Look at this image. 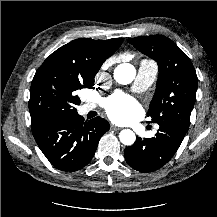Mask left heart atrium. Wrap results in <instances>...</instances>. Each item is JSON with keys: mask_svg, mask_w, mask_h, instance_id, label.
Segmentation results:
<instances>
[{"mask_svg": "<svg viewBox=\"0 0 217 217\" xmlns=\"http://www.w3.org/2000/svg\"><path fill=\"white\" fill-rule=\"evenodd\" d=\"M139 111L136 101L123 94H114L106 102L108 116L119 123L130 121Z\"/></svg>", "mask_w": 217, "mask_h": 217, "instance_id": "1", "label": "left heart atrium"}]
</instances>
